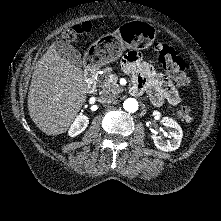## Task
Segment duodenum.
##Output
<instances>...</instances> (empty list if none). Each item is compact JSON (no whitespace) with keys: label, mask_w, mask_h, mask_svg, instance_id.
Wrapping results in <instances>:
<instances>
[{"label":"duodenum","mask_w":221,"mask_h":221,"mask_svg":"<svg viewBox=\"0 0 221 221\" xmlns=\"http://www.w3.org/2000/svg\"><path fill=\"white\" fill-rule=\"evenodd\" d=\"M97 66L93 62H88L85 69V80L87 89L91 90L92 87L96 83L95 75H96Z\"/></svg>","instance_id":"obj_1"}]
</instances>
